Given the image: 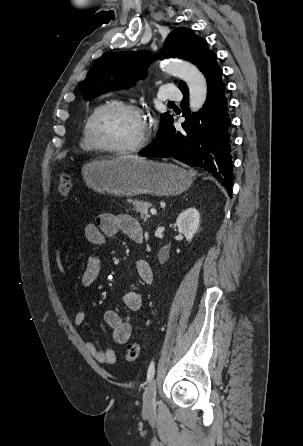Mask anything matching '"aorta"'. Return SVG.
Returning <instances> with one entry per match:
<instances>
[{
	"label": "aorta",
	"mask_w": 303,
	"mask_h": 446,
	"mask_svg": "<svg viewBox=\"0 0 303 446\" xmlns=\"http://www.w3.org/2000/svg\"><path fill=\"white\" fill-rule=\"evenodd\" d=\"M165 72L183 79L189 88V105L192 112L201 109L207 97V83L199 69L183 61H170L162 65Z\"/></svg>",
	"instance_id": "1"
}]
</instances>
